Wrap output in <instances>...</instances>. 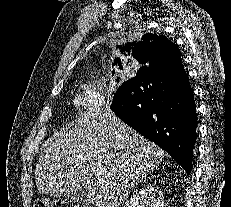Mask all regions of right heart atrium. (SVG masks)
Instances as JSON below:
<instances>
[{
	"mask_svg": "<svg viewBox=\"0 0 231 207\" xmlns=\"http://www.w3.org/2000/svg\"><path fill=\"white\" fill-rule=\"evenodd\" d=\"M72 104L76 114L84 119H92L106 108L108 102L99 92L82 89L74 95Z\"/></svg>",
	"mask_w": 231,
	"mask_h": 207,
	"instance_id": "obj_1",
	"label": "right heart atrium"
}]
</instances>
